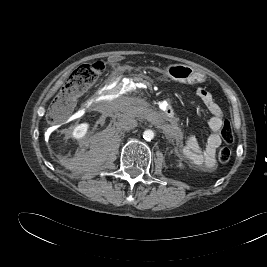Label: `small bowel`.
Masks as SVG:
<instances>
[{"mask_svg": "<svg viewBox=\"0 0 267 267\" xmlns=\"http://www.w3.org/2000/svg\"><path fill=\"white\" fill-rule=\"evenodd\" d=\"M195 94L211 115L209 127L212 133L209 135L204 148L199 145L195 137L190 136L182 147L181 153L191 165L211 170L215 167V154L222 143L219 130L223 124V112L212 94L204 87L197 88Z\"/></svg>", "mask_w": 267, "mask_h": 267, "instance_id": "small-bowel-1", "label": "small bowel"}]
</instances>
